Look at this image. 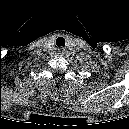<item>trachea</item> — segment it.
I'll return each instance as SVG.
<instances>
[{
  "instance_id": "trachea-1",
  "label": "trachea",
  "mask_w": 129,
  "mask_h": 129,
  "mask_svg": "<svg viewBox=\"0 0 129 129\" xmlns=\"http://www.w3.org/2000/svg\"><path fill=\"white\" fill-rule=\"evenodd\" d=\"M56 45L58 47H64L65 46V39L63 37H58L56 39Z\"/></svg>"
}]
</instances>
